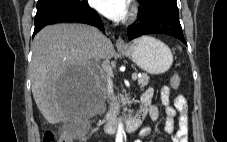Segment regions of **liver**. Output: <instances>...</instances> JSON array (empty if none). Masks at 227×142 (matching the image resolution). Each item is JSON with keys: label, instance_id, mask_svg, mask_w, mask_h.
I'll list each match as a JSON object with an SVG mask.
<instances>
[{"label": "liver", "instance_id": "liver-1", "mask_svg": "<svg viewBox=\"0 0 227 142\" xmlns=\"http://www.w3.org/2000/svg\"><path fill=\"white\" fill-rule=\"evenodd\" d=\"M93 34L91 26L56 24L43 28L34 37L30 64L32 93L50 124L74 117L77 100L72 98H78L86 81L98 86L99 78L91 71V64L115 54L106 37L97 50ZM61 73H75V78H61Z\"/></svg>", "mask_w": 227, "mask_h": 142}]
</instances>
